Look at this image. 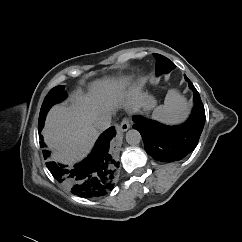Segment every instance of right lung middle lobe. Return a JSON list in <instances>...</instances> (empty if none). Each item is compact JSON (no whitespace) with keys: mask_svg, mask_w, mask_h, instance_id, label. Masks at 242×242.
Returning <instances> with one entry per match:
<instances>
[{"mask_svg":"<svg viewBox=\"0 0 242 242\" xmlns=\"http://www.w3.org/2000/svg\"><path fill=\"white\" fill-rule=\"evenodd\" d=\"M65 86H57L53 88L48 95L45 97V100L41 106L40 115H39V127L44 123L45 116L48 110L52 105L61 102L67 97L66 92L64 91Z\"/></svg>","mask_w":242,"mask_h":242,"instance_id":"obj_1","label":"right lung middle lobe"}]
</instances>
